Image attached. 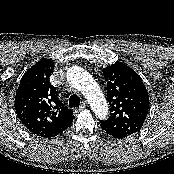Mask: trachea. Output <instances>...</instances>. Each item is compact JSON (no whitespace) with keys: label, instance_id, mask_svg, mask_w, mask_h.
Here are the masks:
<instances>
[{"label":"trachea","instance_id":"trachea-1","mask_svg":"<svg viewBox=\"0 0 174 174\" xmlns=\"http://www.w3.org/2000/svg\"><path fill=\"white\" fill-rule=\"evenodd\" d=\"M80 106V98L78 95L73 94L72 96H70L69 98V107L73 108V107H79Z\"/></svg>","mask_w":174,"mask_h":174}]
</instances>
